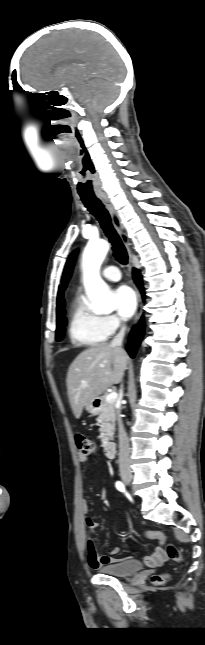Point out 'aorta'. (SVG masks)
<instances>
[{
  "instance_id": "obj_1",
  "label": "aorta",
  "mask_w": 205,
  "mask_h": 645,
  "mask_svg": "<svg viewBox=\"0 0 205 645\" xmlns=\"http://www.w3.org/2000/svg\"><path fill=\"white\" fill-rule=\"evenodd\" d=\"M109 245L104 240L88 243L83 254L84 285L97 313H108L114 308L111 293L99 275L100 266L108 252Z\"/></svg>"
}]
</instances>
